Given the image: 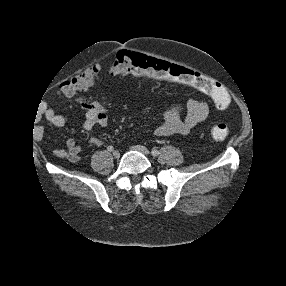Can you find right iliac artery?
<instances>
[{
  "label": "right iliac artery",
  "mask_w": 286,
  "mask_h": 286,
  "mask_svg": "<svg viewBox=\"0 0 286 286\" xmlns=\"http://www.w3.org/2000/svg\"><path fill=\"white\" fill-rule=\"evenodd\" d=\"M113 149H114V148H113L112 145H109V146L107 147V150L110 151V152L113 151Z\"/></svg>",
  "instance_id": "1"
}]
</instances>
